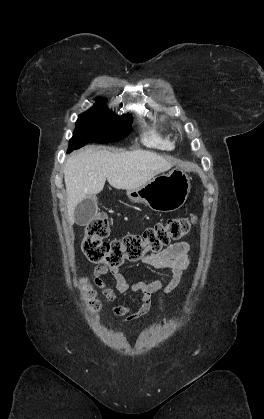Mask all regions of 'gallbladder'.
<instances>
[{
    "instance_id": "bac80fb5",
    "label": "gallbladder",
    "mask_w": 264,
    "mask_h": 419,
    "mask_svg": "<svg viewBox=\"0 0 264 419\" xmlns=\"http://www.w3.org/2000/svg\"><path fill=\"white\" fill-rule=\"evenodd\" d=\"M97 213V198L95 195L87 196L75 208V223L84 226L92 221Z\"/></svg>"
}]
</instances>
